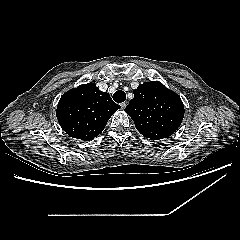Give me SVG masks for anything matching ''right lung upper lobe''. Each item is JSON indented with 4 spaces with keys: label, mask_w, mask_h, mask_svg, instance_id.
Masks as SVG:
<instances>
[{
    "label": "right lung upper lobe",
    "mask_w": 240,
    "mask_h": 240,
    "mask_svg": "<svg viewBox=\"0 0 240 240\" xmlns=\"http://www.w3.org/2000/svg\"><path fill=\"white\" fill-rule=\"evenodd\" d=\"M119 108L108 93L88 83L66 92L58 103L56 115L70 137L92 140Z\"/></svg>",
    "instance_id": "cb5924a9"
}]
</instances>
